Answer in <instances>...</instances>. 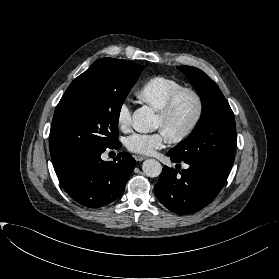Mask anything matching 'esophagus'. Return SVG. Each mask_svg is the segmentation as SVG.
I'll return each instance as SVG.
<instances>
[{"label":"esophagus","instance_id":"obj_1","mask_svg":"<svg viewBox=\"0 0 279 279\" xmlns=\"http://www.w3.org/2000/svg\"><path fill=\"white\" fill-rule=\"evenodd\" d=\"M134 158H135L136 161H139V162H141V161L146 159L145 156H141V155H135Z\"/></svg>","mask_w":279,"mask_h":279}]
</instances>
